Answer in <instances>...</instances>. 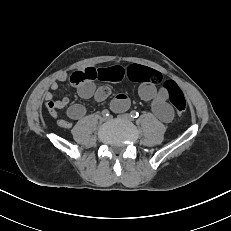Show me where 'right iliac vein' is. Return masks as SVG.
<instances>
[{
  "label": "right iliac vein",
  "instance_id": "obj_1",
  "mask_svg": "<svg viewBox=\"0 0 231 231\" xmlns=\"http://www.w3.org/2000/svg\"><path fill=\"white\" fill-rule=\"evenodd\" d=\"M102 120L105 121V120H107V118H106V117H103Z\"/></svg>",
  "mask_w": 231,
  "mask_h": 231
}]
</instances>
